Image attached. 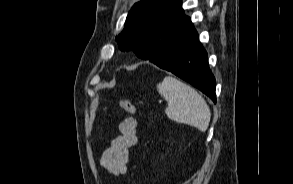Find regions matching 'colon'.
Segmentation results:
<instances>
[{
  "label": "colon",
  "instance_id": "obj_1",
  "mask_svg": "<svg viewBox=\"0 0 293 184\" xmlns=\"http://www.w3.org/2000/svg\"><path fill=\"white\" fill-rule=\"evenodd\" d=\"M117 104L119 105V107H121L123 110H125L126 112H128L130 114H136L137 113L136 107L127 99L118 98L117 99Z\"/></svg>",
  "mask_w": 293,
  "mask_h": 184
}]
</instances>
